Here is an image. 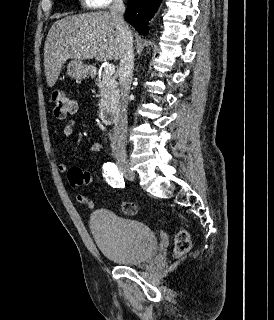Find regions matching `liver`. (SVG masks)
Returning a JSON list of instances; mask_svg holds the SVG:
<instances>
[{
  "label": "liver",
  "mask_w": 274,
  "mask_h": 320,
  "mask_svg": "<svg viewBox=\"0 0 274 320\" xmlns=\"http://www.w3.org/2000/svg\"><path fill=\"white\" fill-rule=\"evenodd\" d=\"M121 44L110 12L66 16L51 26L44 46L45 76L55 86L67 60H119Z\"/></svg>",
  "instance_id": "obj_1"
}]
</instances>
